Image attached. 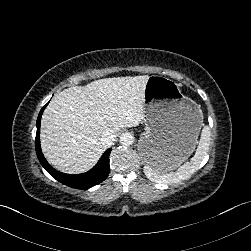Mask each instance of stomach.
Returning <instances> with one entry per match:
<instances>
[{
	"instance_id": "0dacf381",
	"label": "stomach",
	"mask_w": 251,
	"mask_h": 251,
	"mask_svg": "<svg viewBox=\"0 0 251 251\" xmlns=\"http://www.w3.org/2000/svg\"><path fill=\"white\" fill-rule=\"evenodd\" d=\"M203 119L200 106L182 93L181 84L150 76L144 89L145 132L138 142L142 160L163 172L178 168L195 149Z\"/></svg>"
}]
</instances>
